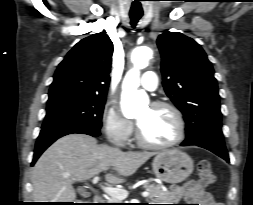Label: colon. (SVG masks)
<instances>
[{
    "label": "colon",
    "mask_w": 253,
    "mask_h": 205,
    "mask_svg": "<svg viewBox=\"0 0 253 205\" xmlns=\"http://www.w3.org/2000/svg\"><path fill=\"white\" fill-rule=\"evenodd\" d=\"M198 182L202 187H207L216 181V174L208 160H201L198 163ZM81 205H87L82 203Z\"/></svg>",
    "instance_id": "colon-1"
}]
</instances>
